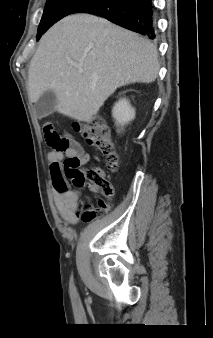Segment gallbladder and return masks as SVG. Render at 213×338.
<instances>
[{"label":"gallbladder","mask_w":213,"mask_h":338,"mask_svg":"<svg viewBox=\"0 0 213 338\" xmlns=\"http://www.w3.org/2000/svg\"><path fill=\"white\" fill-rule=\"evenodd\" d=\"M57 104L56 94L52 90L45 91L34 104L36 114L39 118L51 114Z\"/></svg>","instance_id":"1"}]
</instances>
